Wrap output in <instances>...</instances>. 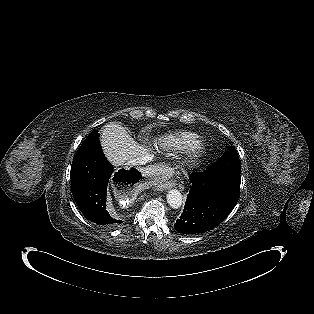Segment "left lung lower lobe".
<instances>
[{"label":"left lung lower lobe","mask_w":314,"mask_h":314,"mask_svg":"<svg viewBox=\"0 0 314 314\" xmlns=\"http://www.w3.org/2000/svg\"><path fill=\"white\" fill-rule=\"evenodd\" d=\"M240 172H193L184 211L174 224L181 234L209 231L233 210L240 197Z\"/></svg>","instance_id":"left-lung-lower-lobe-1"}]
</instances>
